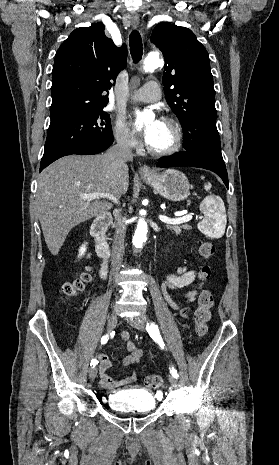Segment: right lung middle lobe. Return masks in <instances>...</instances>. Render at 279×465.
<instances>
[{"instance_id": "obj_1", "label": "right lung middle lobe", "mask_w": 279, "mask_h": 465, "mask_svg": "<svg viewBox=\"0 0 279 465\" xmlns=\"http://www.w3.org/2000/svg\"><path fill=\"white\" fill-rule=\"evenodd\" d=\"M103 108L89 110L69 119L50 124L40 165L81 145L113 142L110 117L103 111Z\"/></svg>"}]
</instances>
